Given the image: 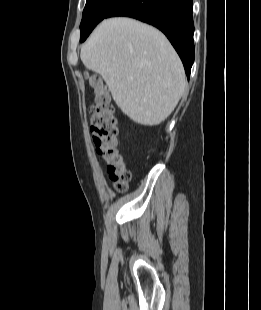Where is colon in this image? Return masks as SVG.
Returning <instances> with one entry per match:
<instances>
[{"label": "colon", "mask_w": 261, "mask_h": 310, "mask_svg": "<svg viewBox=\"0 0 261 310\" xmlns=\"http://www.w3.org/2000/svg\"><path fill=\"white\" fill-rule=\"evenodd\" d=\"M95 88L91 114V133L97 153L106 164L107 173L118 192L127 190L131 173L120 150L119 121L107 88L96 76L90 78Z\"/></svg>", "instance_id": "obj_1"}]
</instances>
